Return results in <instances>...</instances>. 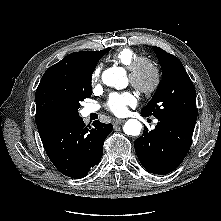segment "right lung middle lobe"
I'll return each mask as SVG.
<instances>
[{"mask_svg": "<svg viewBox=\"0 0 221 221\" xmlns=\"http://www.w3.org/2000/svg\"><path fill=\"white\" fill-rule=\"evenodd\" d=\"M93 70L73 80H55L47 84L38 97L44 119L59 124L79 117L80 102L91 96Z\"/></svg>", "mask_w": 221, "mask_h": 221, "instance_id": "right-lung-middle-lobe-1", "label": "right lung middle lobe"}]
</instances>
